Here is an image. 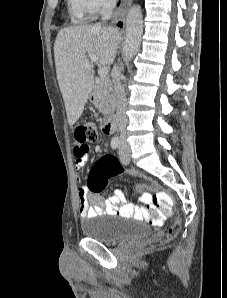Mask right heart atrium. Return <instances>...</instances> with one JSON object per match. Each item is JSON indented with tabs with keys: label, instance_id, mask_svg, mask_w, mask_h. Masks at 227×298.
<instances>
[{
	"label": "right heart atrium",
	"instance_id": "right-heart-atrium-1",
	"mask_svg": "<svg viewBox=\"0 0 227 298\" xmlns=\"http://www.w3.org/2000/svg\"><path fill=\"white\" fill-rule=\"evenodd\" d=\"M71 5L79 12L88 16H95L111 9L114 0H69Z\"/></svg>",
	"mask_w": 227,
	"mask_h": 298
}]
</instances>
